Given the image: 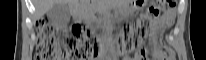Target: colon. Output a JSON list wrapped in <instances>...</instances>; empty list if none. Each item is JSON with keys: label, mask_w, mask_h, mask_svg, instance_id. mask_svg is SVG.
<instances>
[{"label": "colon", "mask_w": 206, "mask_h": 60, "mask_svg": "<svg viewBox=\"0 0 206 60\" xmlns=\"http://www.w3.org/2000/svg\"><path fill=\"white\" fill-rule=\"evenodd\" d=\"M175 6L174 0L152 1L135 24H125L118 40L121 54L130 59L144 55L143 44L149 35L151 24L157 20L169 19ZM100 51L96 32L88 25L74 24L69 34L60 39L48 19L42 18L37 23V60H92ZM166 52L171 54L168 49Z\"/></svg>", "instance_id": "1"}]
</instances>
